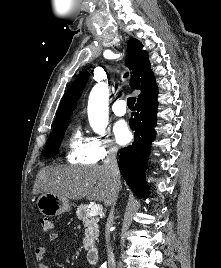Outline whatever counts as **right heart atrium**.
<instances>
[{
  "instance_id": "d8ad5b80",
  "label": "right heart atrium",
  "mask_w": 221,
  "mask_h": 268,
  "mask_svg": "<svg viewBox=\"0 0 221 268\" xmlns=\"http://www.w3.org/2000/svg\"><path fill=\"white\" fill-rule=\"evenodd\" d=\"M90 139L92 154L96 162L103 161L116 154L117 147L107 136H96Z\"/></svg>"
}]
</instances>
